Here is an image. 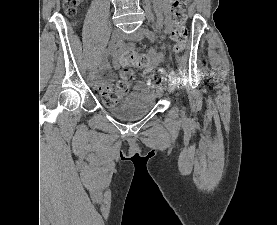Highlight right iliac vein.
<instances>
[{"instance_id":"1","label":"right iliac vein","mask_w":277,"mask_h":225,"mask_svg":"<svg viewBox=\"0 0 277 225\" xmlns=\"http://www.w3.org/2000/svg\"><path fill=\"white\" fill-rule=\"evenodd\" d=\"M123 37V33L119 29H114L111 34V41L118 42ZM99 85V79H95L94 87L97 88Z\"/></svg>"}]
</instances>
